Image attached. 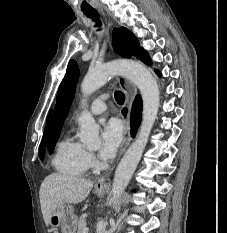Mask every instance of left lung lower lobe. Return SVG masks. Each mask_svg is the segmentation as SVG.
<instances>
[{"label": "left lung lower lobe", "mask_w": 227, "mask_h": 233, "mask_svg": "<svg viewBox=\"0 0 227 233\" xmlns=\"http://www.w3.org/2000/svg\"><path fill=\"white\" fill-rule=\"evenodd\" d=\"M157 74L159 75V76H161V74L157 71Z\"/></svg>", "instance_id": "1"}]
</instances>
